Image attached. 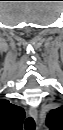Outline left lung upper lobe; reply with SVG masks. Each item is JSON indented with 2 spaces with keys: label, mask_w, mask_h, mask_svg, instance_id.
<instances>
[{
  "label": "left lung upper lobe",
  "mask_w": 63,
  "mask_h": 130,
  "mask_svg": "<svg viewBox=\"0 0 63 130\" xmlns=\"http://www.w3.org/2000/svg\"><path fill=\"white\" fill-rule=\"evenodd\" d=\"M63 119V107L52 110L46 119V125L52 130H60Z\"/></svg>",
  "instance_id": "1"
}]
</instances>
